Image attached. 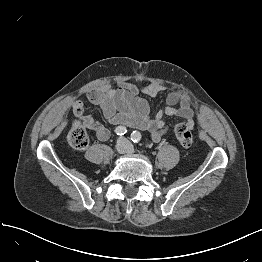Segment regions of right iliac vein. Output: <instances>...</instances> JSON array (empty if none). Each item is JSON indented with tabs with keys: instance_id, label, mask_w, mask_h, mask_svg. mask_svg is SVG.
Listing matches in <instances>:
<instances>
[{
	"instance_id": "1",
	"label": "right iliac vein",
	"mask_w": 262,
	"mask_h": 262,
	"mask_svg": "<svg viewBox=\"0 0 262 262\" xmlns=\"http://www.w3.org/2000/svg\"><path fill=\"white\" fill-rule=\"evenodd\" d=\"M116 150L118 153L123 154L126 152L127 147H126V140L125 139H120L117 144H116Z\"/></svg>"
}]
</instances>
